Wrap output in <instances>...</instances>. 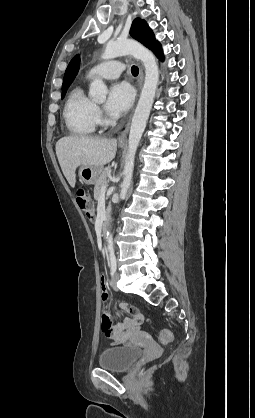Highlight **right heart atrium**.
Returning a JSON list of instances; mask_svg holds the SVG:
<instances>
[{
    "label": "right heart atrium",
    "mask_w": 255,
    "mask_h": 418,
    "mask_svg": "<svg viewBox=\"0 0 255 418\" xmlns=\"http://www.w3.org/2000/svg\"><path fill=\"white\" fill-rule=\"evenodd\" d=\"M95 115H96L97 122H101L103 119V115H102L101 110L98 107L95 108Z\"/></svg>",
    "instance_id": "right-heart-atrium-1"
}]
</instances>
